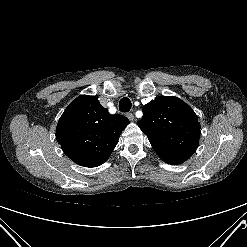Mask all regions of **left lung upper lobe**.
Returning <instances> with one entry per match:
<instances>
[{"label":"left lung upper lobe","mask_w":247,"mask_h":247,"mask_svg":"<svg viewBox=\"0 0 247 247\" xmlns=\"http://www.w3.org/2000/svg\"><path fill=\"white\" fill-rule=\"evenodd\" d=\"M142 111L138 126L164 162L181 164L195 152L201 127L184 101L174 96L156 97Z\"/></svg>","instance_id":"1"}]
</instances>
